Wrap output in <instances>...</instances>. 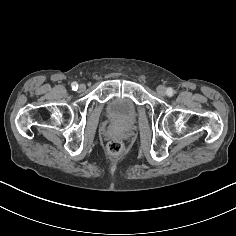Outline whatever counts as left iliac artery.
<instances>
[{
	"label": "left iliac artery",
	"mask_w": 236,
	"mask_h": 236,
	"mask_svg": "<svg viewBox=\"0 0 236 236\" xmlns=\"http://www.w3.org/2000/svg\"><path fill=\"white\" fill-rule=\"evenodd\" d=\"M166 93H167V95H168L169 97H171V96H173V94H174V90H173L171 87H169V88L167 89Z\"/></svg>",
	"instance_id": "obj_1"
}]
</instances>
